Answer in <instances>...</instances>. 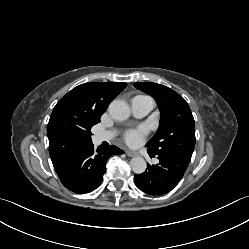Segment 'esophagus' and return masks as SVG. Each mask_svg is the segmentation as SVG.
<instances>
[{
  "label": "esophagus",
  "mask_w": 249,
  "mask_h": 249,
  "mask_svg": "<svg viewBox=\"0 0 249 249\" xmlns=\"http://www.w3.org/2000/svg\"><path fill=\"white\" fill-rule=\"evenodd\" d=\"M125 152H126L127 156H129V157H135L138 155L137 152L131 151V150H126Z\"/></svg>",
  "instance_id": "esophagus-1"
}]
</instances>
